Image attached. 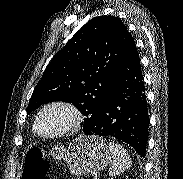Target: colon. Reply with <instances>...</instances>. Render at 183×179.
<instances>
[{"label":"colon","mask_w":183,"mask_h":179,"mask_svg":"<svg viewBox=\"0 0 183 179\" xmlns=\"http://www.w3.org/2000/svg\"><path fill=\"white\" fill-rule=\"evenodd\" d=\"M49 164L39 148H31L25 156L22 179H46Z\"/></svg>","instance_id":"1"}]
</instances>
